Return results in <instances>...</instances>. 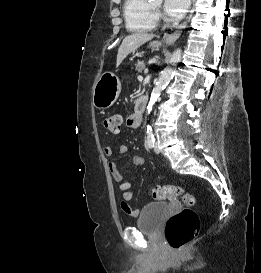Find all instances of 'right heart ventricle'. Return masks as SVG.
<instances>
[{
  "mask_svg": "<svg viewBox=\"0 0 261 273\" xmlns=\"http://www.w3.org/2000/svg\"><path fill=\"white\" fill-rule=\"evenodd\" d=\"M124 19L126 27L134 33H145L156 28L157 17L149 0H125Z\"/></svg>",
  "mask_w": 261,
  "mask_h": 273,
  "instance_id": "e07e8e85",
  "label": "right heart ventricle"
}]
</instances>
